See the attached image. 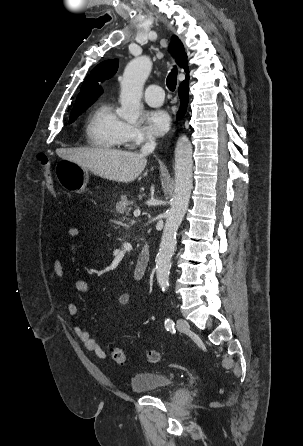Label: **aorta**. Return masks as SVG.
Returning a JSON list of instances; mask_svg holds the SVG:
<instances>
[{
  "label": "aorta",
  "mask_w": 303,
  "mask_h": 446,
  "mask_svg": "<svg viewBox=\"0 0 303 446\" xmlns=\"http://www.w3.org/2000/svg\"><path fill=\"white\" fill-rule=\"evenodd\" d=\"M152 69L149 57L141 56L133 59L126 66L121 79L119 116L127 122H136L142 110L141 97L143 86ZM192 145L186 135L178 138L175 147V190L170 210L156 256L157 282L163 291L169 286L171 258L176 246L177 230L187 211L193 187L192 180Z\"/></svg>",
  "instance_id": "762f6f07"
}]
</instances>
